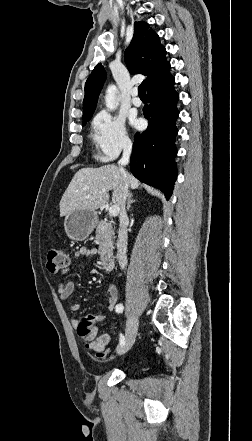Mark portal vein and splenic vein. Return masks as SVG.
Returning a JSON list of instances; mask_svg holds the SVG:
<instances>
[{
	"label": "portal vein and splenic vein",
	"mask_w": 252,
	"mask_h": 441,
	"mask_svg": "<svg viewBox=\"0 0 252 441\" xmlns=\"http://www.w3.org/2000/svg\"><path fill=\"white\" fill-rule=\"evenodd\" d=\"M106 193H107V191H105V190L100 192V194H106ZM86 198H90V196H86ZM119 211H120L119 207L116 205H113L109 208V215L112 217H115L119 214Z\"/></svg>",
	"instance_id": "1"
}]
</instances>
